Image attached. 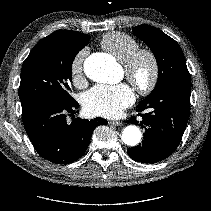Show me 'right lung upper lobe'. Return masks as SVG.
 <instances>
[{
  "mask_svg": "<svg viewBox=\"0 0 211 211\" xmlns=\"http://www.w3.org/2000/svg\"><path fill=\"white\" fill-rule=\"evenodd\" d=\"M73 33H78V32L70 31V30H58V31H55L54 33H52L49 36H51V37H59V36H63V35L73 34Z\"/></svg>",
  "mask_w": 211,
  "mask_h": 211,
  "instance_id": "right-lung-upper-lobe-1",
  "label": "right lung upper lobe"
}]
</instances>
